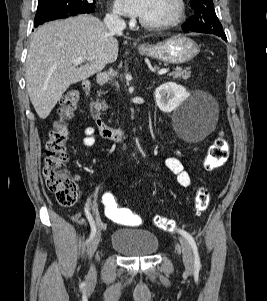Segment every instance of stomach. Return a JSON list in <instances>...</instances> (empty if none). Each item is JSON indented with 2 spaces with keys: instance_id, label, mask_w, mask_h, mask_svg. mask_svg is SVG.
<instances>
[{
  "instance_id": "stomach-1",
  "label": "stomach",
  "mask_w": 267,
  "mask_h": 301,
  "mask_svg": "<svg viewBox=\"0 0 267 301\" xmlns=\"http://www.w3.org/2000/svg\"><path fill=\"white\" fill-rule=\"evenodd\" d=\"M138 51L142 55L167 63L182 64L192 60L199 53L200 49L190 38L177 35L156 45H140Z\"/></svg>"
}]
</instances>
